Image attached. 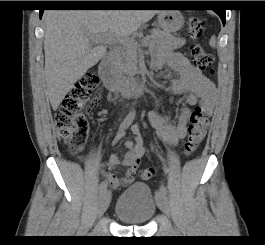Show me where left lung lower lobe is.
I'll use <instances>...</instances> for the list:
<instances>
[{"mask_svg": "<svg viewBox=\"0 0 265 245\" xmlns=\"http://www.w3.org/2000/svg\"><path fill=\"white\" fill-rule=\"evenodd\" d=\"M169 1H160L157 4L158 5H164L165 3H168ZM221 18L223 25H225V20H226V10L224 9H216L214 10Z\"/></svg>", "mask_w": 265, "mask_h": 245, "instance_id": "obj_1", "label": "left lung lower lobe"}]
</instances>
